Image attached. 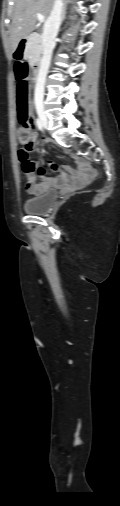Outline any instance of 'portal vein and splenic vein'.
Segmentation results:
<instances>
[{
	"label": "portal vein and splenic vein",
	"instance_id": "18ae733b",
	"mask_svg": "<svg viewBox=\"0 0 120 506\" xmlns=\"http://www.w3.org/2000/svg\"><path fill=\"white\" fill-rule=\"evenodd\" d=\"M36 16H37V19H38V21H39L40 23H42V22H44V21H45V16H44V15H42L41 13H37V14H36Z\"/></svg>",
	"mask_w": 120,
	"mask_h": 506
}]
</instances>
